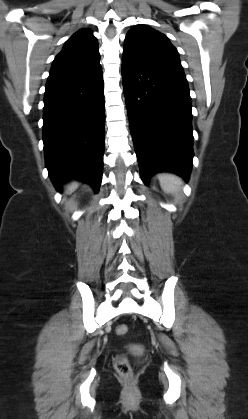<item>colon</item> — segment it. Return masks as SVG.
I'll use <instances>...</instances> for the list:
<instances>
[{
    "instance_id": "1",
    "label": "colon",
    "mask_w": 248,
    "mask_h": 419,
    "mask_svg": "<svg viewBox=\"0 0 248 419\" xmlns=\"http://www.w3.org/2000/svg\"><path fill=\"white\" fill-rule=\"evenodd\" d=\"M128 327L126 325H119L116 329V333L120 336L126 335ZM114 368L116 372L123 378H132V368L128 358L124 354H118L114 358Z\"/></svg>"
}]
</instances>
